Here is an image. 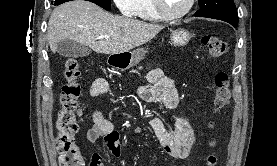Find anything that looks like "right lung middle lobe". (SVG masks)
Instances as JSON below:
<instances>
[{
	"mask_svg": "<svg viewBox=\"0 0 277 166\" xmlns=\"http://www.w3.org/2000/svg\"><path fill=\"white\" fill-rule=\"evenodd\" d=\"M67 1H71V0H55V5H60ZM87 1L93 2L105 10L111 9L110 0H87Z\"/></svg>",
	"mask_w": 277,
	"mask_h": 166,
	"instance_id": "right-lung-middle-lobe-1",
	"label": "right lung middle lobe"
}]
</instances>
